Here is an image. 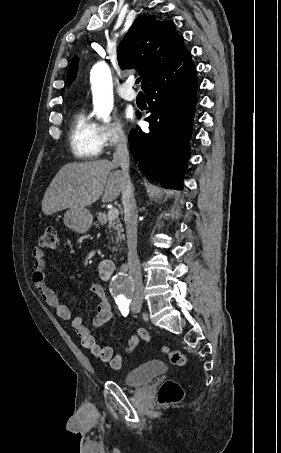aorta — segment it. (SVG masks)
<instances>
[{
  "instance_id": "obj_1",
  "label": "aorta",
  "mask_w": 281,
  "mask_h": 453,
  "mask_svg": "<svg viewBox=\"0 0 281 453\" xmlns=\"http://www.w3.org/2000/svg\"><path fill=\"white\" fill-rule=\"evenodd\" d=\"M90 83L93 96V112L98 119L104 122L110 121V113L114 106L113 83L109 66L103 62H97L90 72ZM111 291L116 295V301L125 302L126 296L132 288L130 277L119 273L110 284Z\"/></svg>"
}]
</instances>
